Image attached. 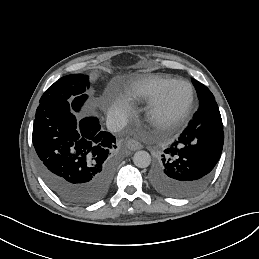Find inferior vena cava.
Masks as SVG:
<instances>
[{
	"label": "inferior vena cava",
	"instance_id": "602c4592",
	"mask_svg": "<svg viewBox=\"0 0 259 259\" xmlns=\"http://www.w3.org/2000/svg\"><path fill=\"white\" fill-rule=\"evenodd\" d=\"M126 124V118L121 114L112 112L107 116L106 126L110 132H119Z\"/></svg>",
	"mask_w": 259,
	"mask_h": 259
}]
</instances>
